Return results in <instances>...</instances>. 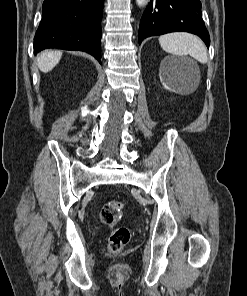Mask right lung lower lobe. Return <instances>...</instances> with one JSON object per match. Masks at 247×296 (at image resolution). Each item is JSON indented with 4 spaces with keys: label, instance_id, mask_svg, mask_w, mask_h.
Returning <instances> with one entry per match:
<instances>
[{
    "label": "right lung lower lobe",
    "instance_id": "1",
    "mask_svg": "<svg viewBox=\"0 0 247 296\" xmlns=\"http://www.w3.org/2000/svg\"><path fill=\"white\" fill-rule=\"evenodd\" d=\"M104 0H44L34 54L47 48L84 51L100 62Z\"/></svg>",
    "mask_w": 247,
    "mask_h": 296
}]
</instances>
